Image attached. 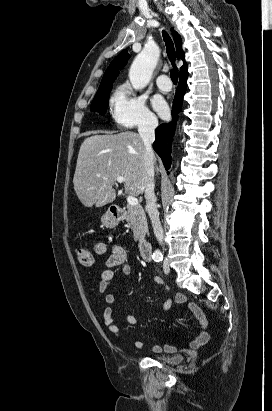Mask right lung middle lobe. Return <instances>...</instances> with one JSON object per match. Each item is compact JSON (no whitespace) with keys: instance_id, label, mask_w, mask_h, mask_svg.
I'll list each match as a JSON object with an SVG mask.
<instances>
[{"instance_id":"1","label":"right lung middle lobe","mask_w":272,"mask_h":411,"mask_svg":"<svg viewBox=\"0 0 272 411\" xmlns=\"http://www.w3.org/2000/svg\"><path fill=\"white\" fill-rule=\"evenodd\" d=\"M112 89V84L108 85L102 89H99L97 91V94L92 102L91 105V110L92 111H97L101 115H104L106 112V109L108 107V98L110 91Z\"/></svg>"}]
</instances>
